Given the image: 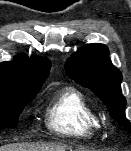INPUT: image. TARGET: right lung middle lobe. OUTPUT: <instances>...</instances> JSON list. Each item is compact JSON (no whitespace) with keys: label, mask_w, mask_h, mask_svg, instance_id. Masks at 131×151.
Listing matches in <instances>:
<instances>
[{"label":"right lung middle lobe","mask_w":131,"mask_h":151,"mask_svg":"<svg viewBox=\"0 0 131 151\" xmlns=\"http://www.w3.org/2000/svg\"><path fill=\"white\" fill-rule=\"evenodd\" d=\"M40 88H19L0 86V129L15 126L25 105Z\"/></svg>","instance_id":"1"}]
</instances>
